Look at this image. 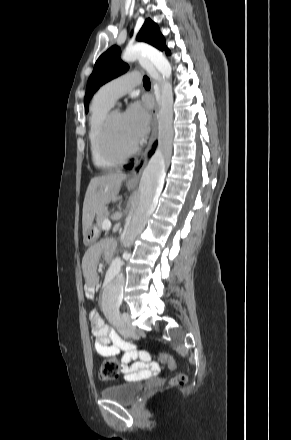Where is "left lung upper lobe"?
<instances>
[{
    "instance_id": "left-lung-upper-lobe-1",
    "label": "left lung upper lobe",
    "mask_w": 291,
    "mask_h": 440,
    "mask_svg": "<svg viewBox=\"0 0 291 440\" xmlns=\"http://www.w3.org/2000/svg\"><path fill=\"white\" fill-rule=\"evenodd\" d=\"M136 39L149 43L161 51L165 50L168 55L170 54L158 26L149 18L146 19ZM127 70L128 65L120 60V48L118 46H112L98 58L87 83L84 97L86 112L90 99L100 86L125 73Z\"/></svg>"
}]
</instances>
